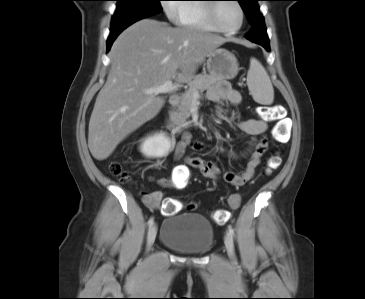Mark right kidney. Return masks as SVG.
<instances>
[{
  "label": "right kidney",
  "mask_w": 365,
  "mask_h": 299,
  "mask_svg": "<svg viewBox=\"0 0 365 299\" xmlns=\"http://www.w3.org/2000/svg\"><path fill=\"white\" fill-rule=\"evenodd\" d=\"M172 148L173 143L165 133H155L142 142L140 151L148 158H161L167 156Z\"/></svg>",
  "instance_id": "1"
}]
</instances>
